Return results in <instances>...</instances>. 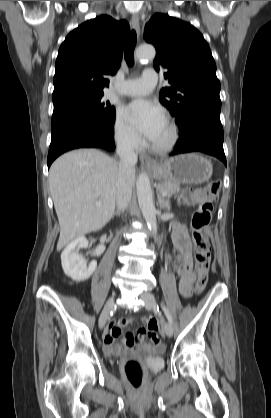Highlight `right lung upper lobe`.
<instances>
[{"mask_svg": "<svg viewBox=\"0 0 271 418\" xmlns=\"http://www.w3.org/2000/svg\"><path fill=\"white\" fill-rule=\"evenodd\" d=\"M128 31L127 21L101 15L70 32L56 59L53 101L103 92L109 86L105 76L114 75L120 67Z\"/></svg>", "mask_w": 271, "mask_h": 418, "instance_id": "cb5924a9", "label": "right lung upper lobe"}]
</instances>
